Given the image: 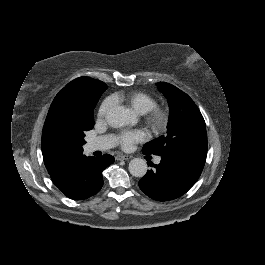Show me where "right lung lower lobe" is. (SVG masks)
Listing matches in <instances>:
<instances>
[{"instance_id":"98d812e1","label":"right lung lower lobe","mask_w":265,"mask_h":265,"mask_svg":"<svg viewBox=\"0 0 265 265\" xmlns=\"http://www.w3.org/2000/svg\"><path fill=\"white\" fill-rule=\"evenodd\" d=\"M114 162V157H87L82 154L68 164L57 176L51 177L55 186L68 198L83 200L95 195L103 186L102 171Z\"/></svg>"}]
</instances>
